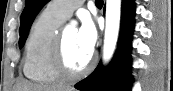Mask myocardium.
<instances>
[{
  "label": "myocardium",
  "instance_id": "myocardium-1",
  "mask_svg": "<svg viewBox=\"0 0 173 91\" xmlns=\"http://www.w3.org/2000/svg\"><path fill=\"white\" fill-rule=\"evenodd\" d=\"M64 31L65 29H60L55 38L50 57L51 66L53 71L61 79L76 80L90 72L95 64L96 57L94 54H91V57L85 67L78 71L72 70L66 61Z\"/></svg>",
  "mask_w": 173,
  "mask_h": 91
}]
</instances>
